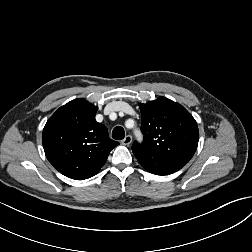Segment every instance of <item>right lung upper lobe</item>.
I'll return each mask as SVG.
<instances>
[{"mask_svg":"<svg viewBox=\"0 0 252 252\" xmlns=\"http://www.w3.org/2000/svg\"><path fill=\"white\" fill-rule=\"evenodd\" d=\"M97 109L84 99L72 100L60 107L43 129L47 159L69 178L83 180L94 176L119 144L95 120Z\"/></svg>","mask_w":252,"mask_h":252,"instance_id":"1","label":"right lung upper lobe"}]
</instances>
